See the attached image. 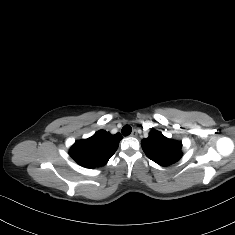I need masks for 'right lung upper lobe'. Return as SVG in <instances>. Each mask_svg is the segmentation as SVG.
<instances>
[{
  "mask_svg": "<svg viewBox=\"0 0 235 235\" xmlns=\"http://www.w3.org/2000/svg\"><path fill=\"white\" fill-rule=\"evenodd\" d=\"M121 139L120 133L112 135L105 130H99L88 139L76 141L69 154L83 167H100L113 156Z\"/></svg>",
  "mask_w": 235,
  "mask_h": 235,
  "instance_id": "cb5924a9",
  "label": "right lung upper lobe"
}]
</instances>
